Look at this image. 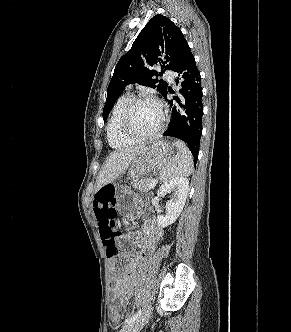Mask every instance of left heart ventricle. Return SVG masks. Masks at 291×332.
<instances>
[{
	"label": "left heart ventricle",
	"mask_w": 291,
	"mask_h": 332,
	"mask_svg": "<svg viewBox=\"0 0 291 332\" xmlns=\"http://www.w3.org/2000/svg\"><path fill=\"white\" fill-rule=\"evenodd\" d=\"M161 123V113L153 102H142L135 108L131 126L134 132L148 135L155 132Z\"/></svg>",
	"instance_id": "obj_1"
}]
</instances>
